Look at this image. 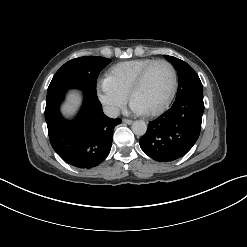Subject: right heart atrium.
<instances>
[{
	"mask_svg": "<svg viewBox=\"0 0 247 247\" xmlns=\"http://www.w3.org/2000/svg\"><path fill=\"white\" fill-rule=\"evenodd\" d=\"M96 93L106 111L112 115L118 113L128 96L126 91L118 87L108 77H104L97 82Z\"/></svg>",
	"mask_w": 247,
	"mask_h": 247,
	"instance_id": "d8ad5b80",
	"label": "right heart atrium"
}]
</instances>
